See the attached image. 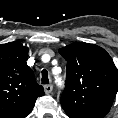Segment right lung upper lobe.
Here are the masks:
<instances>
[{
	"instance_id": "cb5924a9",
	"label": "right lung upper lobe",
	"mask_w": 118,
	"mask_h": 118,
	"mask_svg": "<svg viewBox=\"0 0 118 118\" xmlns=\"http://www.w3.org/2000/svg\"><path fill=\"white\" fill-rule=\"evenodd\" d=\"M28 50L19 42L0 45V118H25L44 95L27 65Z\"/></svg>"
}]
</instances>
